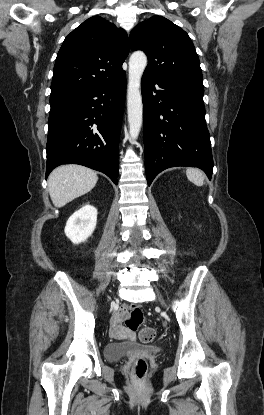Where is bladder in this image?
I'll return each instance as SVG.
<instances>
[{
    "mask_svg": "<svg viewBox=\"0 0 264 415\" xmlns=\"http://www.w3.org/2000/svg\"><path fill=\"white\" fill-rule=\"evenodd\" d=\"M135 353L161 354L162 348L157 345H142L135 342L107 344L104 348V355L109 361L118 362L121 359Z\"/></svg>",
    "mask_w": 264,
    "mask_h": 415,
    "instance_id": "obj_1",
    "label": "bladder"
}]
</instances>
